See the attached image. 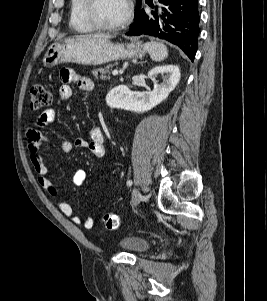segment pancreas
I'll return each mask as SVG.
<instances>
[{
    "mask_svg": "<svg viewBox=\"0 0 267 301\" xmlns=\"http://www.w3.org/2000/svg\"><path fill=\"white\" fill-rule=\"evenodd\" d=\"M113 65H107L105 67H100L98 69H95L92 71L93 75L95 76L96 79H98V74L100 73V78L105 80V79H110V68H112Z\"/></svg>",
    "mask_w": 267,
    "mask_h": 301,
    "instance_id": "1",
    "label": "pancreas"
}]
</instances>
